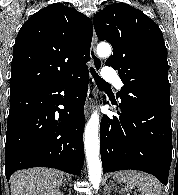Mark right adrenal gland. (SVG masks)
I'll list each match as a JSON object with an SVG mask.
<instances>
[{
    "label": "right adrenal gland",
    "instance_id": "2a0ac1e0",
    "mask_svg": "<svg viewBox=\"0 0 178 195\" xmlns=\"http://www.w3.org/2000/svg\"><path fill=\"white\" fill-rule=\"evenodd\" d=\"M67 184V181L66 179H64V184H62V186L66 185Z\"/></svg>",
    "mask_w": 178,
    "mask_h": 195
}]
</instances>
